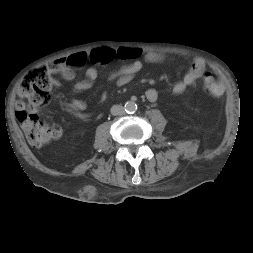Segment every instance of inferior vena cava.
Here are the masks:
<instances>
[{"instance_id": "obj_1", "label": "inferior vena cava", "mask_w": 253, "mask_h": 253, "mask_svg": "<svg viewBox=\"0 0 253 253\" xmlns=\"http://www.w3.org/2000/svg\"><path fill=\"white\" fill-rule=\"evenodd\" d=\"M125 113L124 108L121 105H114L111 107V114L114 116H120Z\"/></svg>"}]
</instances>
